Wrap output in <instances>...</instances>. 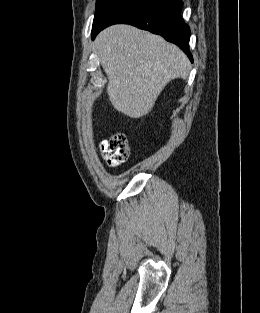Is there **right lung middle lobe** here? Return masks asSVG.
Returning <instances> with one entry per match:
<instances>
[{
  "label": "right lung middle lobe",
  "mask_w": 260,
  "mask_h": 313,
  "mask_svg": "<svg viewBox=\"0 0 260 313\" xmlns=\"http://www.w3.org/2000/svg\"><path fill=\"white\" fill-rule=\"evenodd\" d=\"M119 0H97L96 13L92 28L97 24L101 17Z\"/></svg>",
  "instance_id": "right-lung-middle-lobe-1"
}]
</instances>
